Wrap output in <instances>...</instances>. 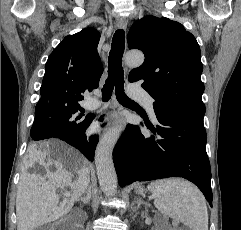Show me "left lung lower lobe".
<instances>
[{
    "instance_id": "left-lung-lower-lobe-1",
    "label": "left lung lower lobe",
    "mask_w": 241,
    "mask_h": 230,
    "mask_svg": "<svg viewBox=\"0 0 241 230\" xmlns=\"http://www.w3.org/2000/svg\"><path fill=\"white\" fill-rule=\"evenodd\" d=\"M153 106L159 124L154 128L145 122L152 135L148 137L137 126L128 125L113 150L119 185L183 177L197 185L211 202V168L203 117L168 106Z\"/></svg>"
}]
</instances>
